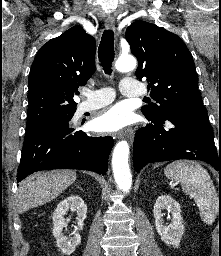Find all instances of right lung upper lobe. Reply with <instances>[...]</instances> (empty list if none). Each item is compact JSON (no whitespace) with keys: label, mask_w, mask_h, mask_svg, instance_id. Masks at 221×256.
Returning <instances> with one entry per match:
<instances>
[{"label":"right lung upper lobe","mask_w":221,"mask_h":256,"mask_svg":"<svg viewBox=\"0 0 221 256\" xmlns=\"http://www.w3.org/2000/svg\"><path fill=\"white\" fill-rule=\"evenodd\" d=\"M95 50L94 37L80 26L43 45L29 73L27 115L58 109L76 111L73 96L95 72Z\"/></svg>","instance_id":"obj_1"}]
</instances>
